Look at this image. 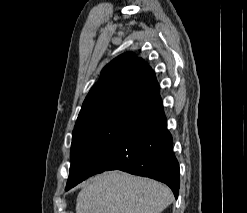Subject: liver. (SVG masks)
Here are the masks:
<instances>
[{
    "label": "liver",
    "mask_w": 247,
    "mask_h": 213,
    "mask_svg": "<svg viewBox=\"0 0 247 213\" xmlns=\"http://www.w3.org/2000/svg\"><path fill=\"white\" fill-rule=\"evenodd\" d=\"M172 200L171 190L155 180L110 171L84 184L76 213H160Z\"/></svg>",
    "instance_id": "liver-1"
}]
</instances>
